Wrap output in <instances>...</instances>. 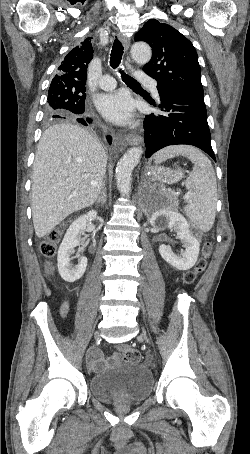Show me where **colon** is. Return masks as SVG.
I'll list each match as a JSON object with an SVG mask.
<instances>
[{"instance_id": "1", "label": "colon", "mask_w": 250, "mask_h": 454, "mask_svg": "<svg viewBox=\"0 0 250 454\" xmlns=\"http://www.w3.org/2000/svg\"><path fill=\"white\" fill-rule=\"evenodd\" d=\"M60 236L61 229H55L51 231L47 238L41 243L40 250L45 257L50 258L55 255L57 243L60 240ZM211 252L212 244L209 242L205 243L202 248V255L197 261L195 268L192 271H188L183 276L184 284L191 285L195 282L198 275L205 270L207 266V260L211 255ZM48 272H51L50 268H48ZM118 350L123 358L127 361L138 362L141 359L140 352L131 346H120Z\"/></svg>"}]
</instances>
